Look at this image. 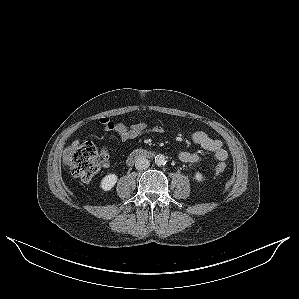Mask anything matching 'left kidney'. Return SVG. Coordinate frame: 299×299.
I'll use <instances>...</instances> for the list:
<instances>
[{"instance_id":"left-kidney-1","label":"left kidney","mask_w":299,"mask_h":299,"mask_svg":"<svg viewBox=\"0 0 299 299\" xmlns=\"http://www.w3.org/2000/svg\"><path fill=\"white\" fill-rule=\"evenodd\" d=\"M195 179L198 181V182H202L204 177L203 175L200 173V172H196L195 173Z\"/></svg>"}]
</instances>
